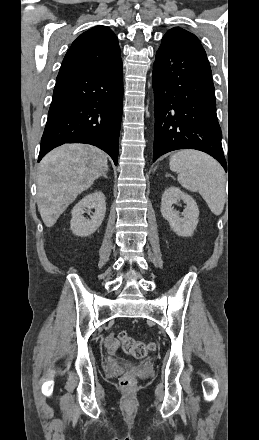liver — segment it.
I'll list each match as a JSON object with an SVG mask.
<instances>
[{"label":"liver","instance_id":"1","mask_svg":"<svg viewBox=\"0 0 259 440\" xmlns=\"http://www.w3.org/2000/svg\"><path fill=\"white\" fill-rule=\"evenodd\" d=\"M107 171V154L95 146L65 144L50 151L40 162L37 178V205L46 227Z\"/></svg>","mask_w":259,"mask_h":440}]
</instances>
